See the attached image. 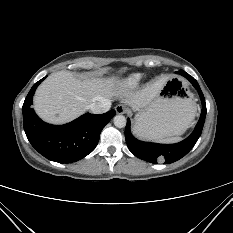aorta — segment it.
I'll return each mask as SVG.
<instances>
[{
	"mask_svg": "<svg viewBox=\"0 0 233 233\" xmlns=\"http://www.w3.org/2000/svg\"><path fill=\"white\" fill-rule=\"evenodd\" d=\"M114 125L118 128H123L126 126V118L123 115H116L114 117Z\"/></svg>",
	"mask_w": 233,
	"mask_h": 233,
	"instance_id": "aorta-1",
	"label": "aorta"
}]
</instances>
